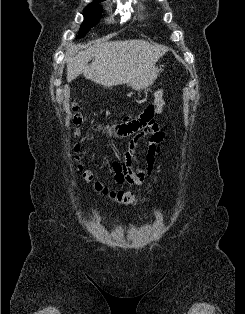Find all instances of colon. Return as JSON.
I'll use <instances>...</instances> for the list:
<instances>
[{
  "label": "colon",
  "instance_id": "5ec220e1",
  "mask_svg": "<svg viewBox=\"0 0 245 314\" xmlns=\"http://www.w3.org/2000/svg\"><path fill=\"white\" fill-rule=\"evenodd\" d=\"M73 109V117H72V124L74 127H78L82 124L83 122V117L82 115L78 112V106L77 105H73L72 107ZM75 136L79 135L78 130L76 129L74 131ZM79 151H80V146L78 144H76L74 146V153H75V161L79 164L78 168L79 171L82 175V178L84 179L85 182L90 183L93 185L95 191L99 194H102L108 198H110L111 200L120 203V204H124V205H134L136 203H138L140 200L130 191H124V190H113L110 189L108 187H106L105 185H103L101 182L99 181H95L93 179L92 173L89 170H86L82 167V165H80L79 163Z\"/></svg>",
  "mask_w": 245,
  "mask_h": 314
}]
</instances>
